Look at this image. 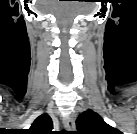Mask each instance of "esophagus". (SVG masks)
<instances>
[{"label":"esophagus","instance_id":"34e87169","mask_svg":"<svg viewBox=\"0 0 137 134\" xmlns=\"http://www.w3.org/2000/svg\"><path fill=\"white\" fill-rule=\"evenodd\" d=\"M63 125H64V128L68 131H74L75 129V123L73 118L71 117L65 118L63 120Z\"/></svg>","mask_w":137,"mask_h":134}]
</instances>
